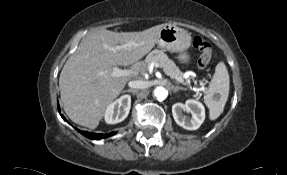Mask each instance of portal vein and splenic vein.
<instances>
[{
  "label": "portal vein and splenic vein",
  "mask_w": 287,
  "mask_h": 175,
  "mask_svg": "<svg viewBox=\"0 0 287 175\" xmlns=\"http://www.w3.org/2000/svg\"><path fill=\"white\" fill-rule=\"evenodd\" d=\"M126 46H128V45H123V46H116V49H121V48H124V47H126ZM154 67H156V68H159L160 67V65H159V63H154ZM132 74V71L131 70H127V69H120V68H118V67H114L113 68V71H112V76H114V77H121V76H129V75H131ZM179 82H183V83H187V84H190V82L189 81H185L184 79H179L178 80ZM194 90L195 91H204L205 90V88L204 87H201V88H197V87H194Z\"/></svg>",
  "instance_id": "1"
}]
</instances>
